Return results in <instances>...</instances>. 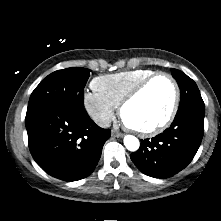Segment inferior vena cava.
I'll return each mask as SVG.
<instances>
[{
  "label": "inferior vena cava",
  "mask_w": 221,
  "mask_h": 221,
  "mask_svg": "<svg viewBox=\"0 0 221 221\" xmlns=\"http://www.w3.org/2000/svg\"><path fill=\"white\" fill-rule=\"evenodd\" d=\"M95 122L102 128H108L111 126V120L106 116L94 117Z\"/></svg>",
  "instance_id": "602c4592"
}]
</instances>
